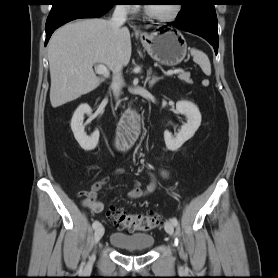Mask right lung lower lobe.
I'll use <instances>...</instances> for the list:
<instances>
[{"mask_svg":"<svg viewBox=\"0 0 278 278\" xmlns=\"http://www.w3.org/2000/svg\"><path fill=\"white\" fill-rule=\"evenodd\" d=\"M115 3L87 2L82 0H63L53 5L46 21V41L61 25L80 18H95L107 13Z\"/></svg>","mask_w":278,"mask_h":278,"instance_id":"right-lung-lower-lobe-1","label":"right lung lower lobe"}]
</instances>
